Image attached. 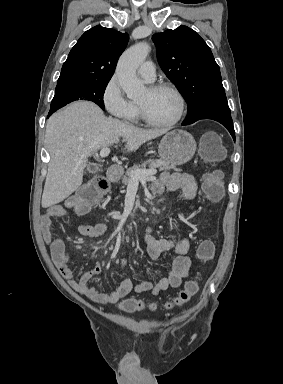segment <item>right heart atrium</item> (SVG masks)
<instances>
[{"label": "right heart atrium", "mask_w": 283, "mask_h": 384, "mask_svg": "<svg viewBox=\"0 0 283 384\" xmlns=\"http://www.w3.org/2000/svg\"><path fill=\"white\" fill-rule=\"evenodd\" d=\"M102 101L111 116L120 124H126L137 116V106L128 100L116 74L106 82L102 91Z\"/></svg>", "instance_id": "1"}]
</instances>
